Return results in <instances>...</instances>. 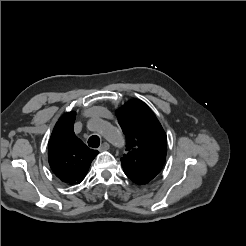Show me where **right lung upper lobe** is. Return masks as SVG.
I'll use <instances>...</instances> for the list:
<instances>
[{"instance_id":"1","label":"right lung upper lobe","mask_w":246,"mask_h":246,"mask_svg":"<svg viewBox=\"0 0 246 246\" xmlns=\"http://www.w3.org/2000/svg\"><path fill=\"white\" fill-rule=\"evenodd\" d=\"M75 112L64 114L56 123L48 143V160L62 182L79 184L98 151L89 149L73 131Z\"/></svg>"}]
</instances>
